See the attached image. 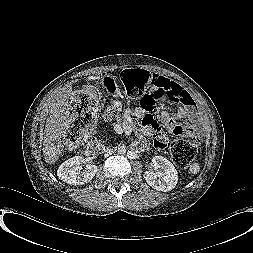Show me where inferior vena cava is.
I'll return each instance as SVG.
<instances>
[{"label": "inferior vena cava", "mask_w": 253, "mask_h": 253, "mask_svg": "<svg viewBox=\"0 0 253 253\" xmlns=\"http://www.w3.org/2000/svg\"><path fill=\"white\" fill-rule=\"evenodd\" d=\"M115 154V151L113 149H110L106 155L113 156Z\"/></svg>", "instance_id": "602c4592"}]
</instances>
